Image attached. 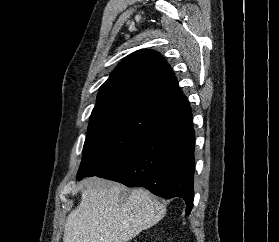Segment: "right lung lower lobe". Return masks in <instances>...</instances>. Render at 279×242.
Wrapping results in <instances>:
<instances>
[{
    "instance_id": "1",
    "label": "right lung lower lobe",
    "mask_w": 279,
    "mask_h": 242,
    "mask_svg": "<svg viewBox=\"0 0 279 242\" xmlns=\"http://www.w3.org/2000/svg\"><path fill=\"white\" fill-rule=\"evenodd\" d=\"M194 135L190 105L169 110L147 139L97 176L144 187L165 199L180 197L188 216L194 197Z\"/></svg>"
}]
</instances>
